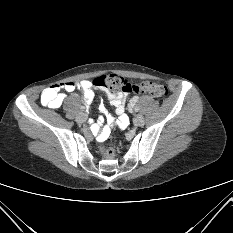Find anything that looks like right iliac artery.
<instances>
[{
	"instance_id": "1",
	"label": "right iliac artery",
	"mask_w": 233,
	"mask_h": 233,
	"mask_svg": "<svg viewBox=\"0 0 233 233\" xmlns=\"http://www.w3.org/2000/svg\"><path fill=\"white\" fill-rule=\"evenodd\" d=\"M84 109H85L84 107H81V110H82V111H84Z\"/></svg>"
}]
</instances>
